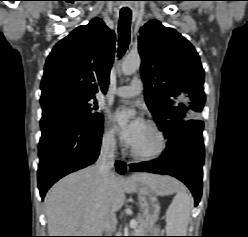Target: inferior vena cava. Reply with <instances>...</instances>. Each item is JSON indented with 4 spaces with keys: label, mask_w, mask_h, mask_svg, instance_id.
<instances>
[{
    "label": "inferior vena cava",
    "mask_w": 248,
    "mask_h": 237,
    "mask_svg": "<svg viewBox=\"0 0 248 237\" xmlns=\"http://www.w3.org/2000/svg\"><path fill=\"white\" fill-rule=\"evenodd\" d=\"M115 139L113 136L106 137L102 141L99 158L96 162V168L103 177L105 183L114 169V150ZM116 227V217L113 211L109 212L105 221V232L111 234Z\"/></svg>",
    "instance_id": "obj_1"
}]
</instances>
